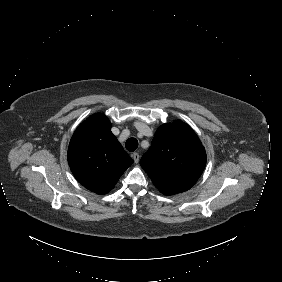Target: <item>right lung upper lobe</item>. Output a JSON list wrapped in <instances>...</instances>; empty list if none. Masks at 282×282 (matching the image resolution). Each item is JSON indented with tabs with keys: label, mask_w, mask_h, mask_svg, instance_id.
Segmentation results:
<instances>
[{
	"label": "right lung upper lobe",
	"mask_w": 282,
	"mask_h": 282,
	"mask_svg": "<svg viewBox=\"0 0 282 282\" xmlns=\"http://www.w3.org/2000/svg\"><path fill=\"white\" fill-rule=\"evenodd\" d=\"M68 163L81 185L97 194H106L133 160L111 132L109 119L97 113L74 132L68 148Z\"/></svg>",
	"instance_id": "1"
}]
</instances>
